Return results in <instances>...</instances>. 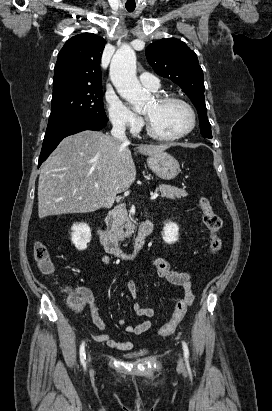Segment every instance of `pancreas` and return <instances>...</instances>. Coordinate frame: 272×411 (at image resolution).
<instances>
[{
	"instance_id": "1",
	"label": "pancreas",
	"mask_w": 272,
	"mask_h": 411,
	"mask_svg": "<svg viewBox=\"0 0 272 411\" xmlns=\"http://www.w3.org/2000/svg\"><path fill=\"white\" fill-rule=\"evenodd\" d=\"M158 190L162 198L180 199L188 196L184 189L170 185H161ZM107 231L117 240H124L128 236L129 217L125 207L116 206L106 218Z\"/></svg>"
}]
</instances>
